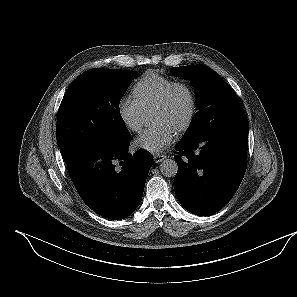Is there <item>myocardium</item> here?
Listing matches in <instances>:
<instances>
[{
    "mask_svg": "<svg viewBox=\"0 0 297 297\" xmlns=\"http://www.w3.org/2000/svg\"><path fill=\"white\" fill-rule=\"evenodd\" d=\"M178 89H183L188 97L189 108L188 113L183 120V122L179 125L176 132L181 134L186 132L194 122L197 113V99L193 88L184 81H175L172 83L162 94L160 99L153 106L152 110L155 109H164L167 108L172 100L174 93Z\"/></svg>",
    "mask_w": 297,
    "mask_h": 297,
    "instance_id": "1",
    "label": "myocardium"
}]
</instances>
